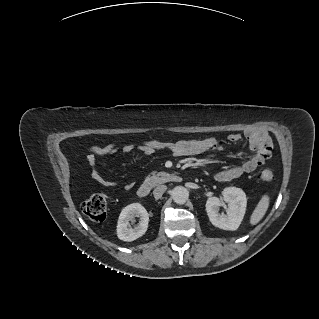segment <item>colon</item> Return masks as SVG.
Instances as JSON below:
<instances>
[{
  "label": "colon",
  "instance_id": "1",
  "mask_svg": "<svg viewBox=\"0 0 319 319\" xmlns=\"http://www.w3.org/2000/svg\"><path fill=\"white\" fill-rule=\"evenodd\" d=\"M258 150L264 157L269 158L272 150L271 142L269 140L263 142ZM261 179L264 181H272L274 174L270 170H263ZM82 212L93 221H103L107 214L106 196L101 193L91 195L83 202Z\"/></svg>",
  "mask_w": 319,
  "mask_h": 319
}]
</instances>
